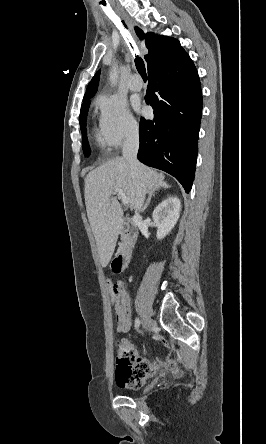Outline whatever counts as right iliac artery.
Listing matches in <instances>:
<instances>
[{"instance_id":"82829eb1","label":"right iliac artery","mask_w":266,"mask_h":444,"mask_svg":"<svg viewBox=\"0 0 266 444\" xmlns=\"http://www.w3.org/2000/svg\"><path fill=\"white\" fill-rule=\"evenodd\" d=\"M134 326H135V329H136V330L139 328V326H140V320H139V318H136V319H135V324H134Z\"/></svg>"}]
</instances>
